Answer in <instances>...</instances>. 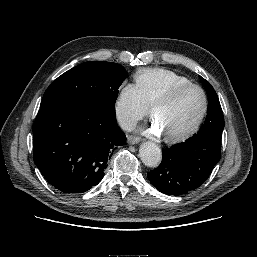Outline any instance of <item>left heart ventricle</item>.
Instances as JSON below:
<instances>
[{
  "label": "left heart ventricle",
  "instance_id": "b2bd125f",
  "mask_svg": "<svg viewBox=\"0 0 257 257\" xmlns=\"http://www.w3.org/2000/svg\"><path fill=\"white\" fill-rule=\"evenodd\" d=\"M202 106L200 92L189 89L181 93L172 103L158 107L155 118L164 133H177L189 128L196 121Z\"/></svg>",
  "mask_w": 257,
  "mask_h": 257
}]
</instances>
